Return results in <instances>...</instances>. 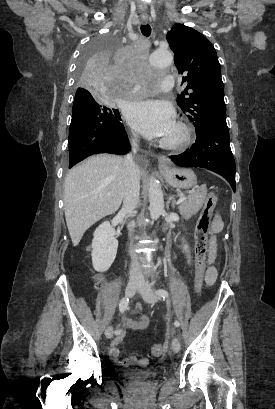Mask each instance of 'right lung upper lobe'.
I'll use <instances>...</instances> for the list:
<instances>
[{
	"label": "right lung upper lobe",
	"mask_w": 275,
	"mask_h": 409,
	"mask_svg": "<svg viewBox=\"0 0 275 409\" xmlns=\"http://www.w3.org/2000/svg\"><path fill=\"white\" fill-rule=\"evenodd\" d=\"M77 91H86V90H78V89H77Z\"/></svg>",
	"instance_id": "right-lung-upper-lobe-1"
}]
</instances>
